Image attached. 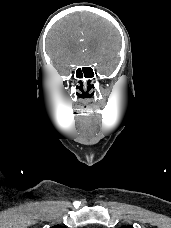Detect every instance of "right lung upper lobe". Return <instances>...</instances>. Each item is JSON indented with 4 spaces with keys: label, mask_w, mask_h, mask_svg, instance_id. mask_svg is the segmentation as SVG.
I'll use <instances>...</instances> for the list:
<instances>
[{
    "label": "right lung upper lobe",
    "mask_w": 171,
    "mask_h": 228,
    "mask_svg": "<svg viewBox=\"0 0 171 228\" xmlns=\"http://www.w3.org/2000/svg\"><path fill=\"white\" fill-rule=\"evenodd\" d=\"M51 228H64V227H62V226H53Z\"/></svg>",
    "instance_id": "right-lung-upper-lobe-1"
}]
</instances>
